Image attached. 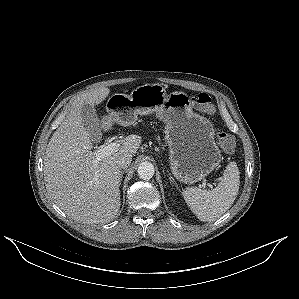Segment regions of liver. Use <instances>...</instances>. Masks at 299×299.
Wrapping results in <instances>:
<instances>
[{"mask_svg": "<svg viewBox=\"0 0 299 299\" xmlns=\"http://www.w3.org/2000/svg\"><path fill=\"white\" fill-rule=\"evenodd\" d=\"M110 90L99 87L78 95L64 122L53 133L44 156L46 189L55 204L69 217L86 224L112 221L120 209L118 158L135 154L141 144L138 135L127 136L119 150L95 164L90 133L84 128L82 108L102 102ZM107 124L119 122L117 114Z\"/></svg>", "mask_w": 299, "mask_h": 299, "instance_id": "obj_1", "label": "liver"}]
</instances>
